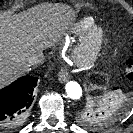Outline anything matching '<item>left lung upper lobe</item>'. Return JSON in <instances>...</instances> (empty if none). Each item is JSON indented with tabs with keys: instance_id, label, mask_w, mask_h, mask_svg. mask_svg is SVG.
I'll return each instance as SVG.
<instances>
[{
	"instance_id": "left-lung-upper-lobe-1",
	"label": "left lung upper lobe",
	"mask_w": 133,
	"mask_h": 133,
	"mask_svg": "<svg viewBox=\"0 0 133 133\" xmlns=\"http://www.w3.org/2000/svg\"><path fill=\"white\" fill-rule=\"evenodd\" d=\"M126 64L131 67L133 65V60L129 59ZM128 79L133 81V72L128 74ZM116 106H104L102 109L92 108V107H85L82 112H80L77 116L78 122L89 128H97L104 126L115 118L119 116L121 111L115 113ZM101 121H104V125Z\"/></svg>"
}]
</instances>
